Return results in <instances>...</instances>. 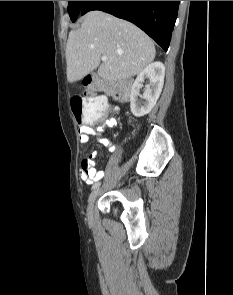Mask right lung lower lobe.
I'll use <instances>...</instances> for the list:
<instances>
[{
    "label": "right lung lower lobe",
    "mask_w": 233,
    "mask_h": 295,
    "mask_svg": "<svg viewBox=\"0 0 233 295\" xmlns=\"http://www.w3.org/2000/svg\"><path fill=\"white\" fill-rule=\"evenodd\" d=\"M180 1H86L80 14L101 10L128 20L152 37L165 51Z\"/></svg>",
    "instance_id": "98d812e1"
}]
</instances>
